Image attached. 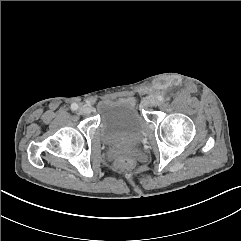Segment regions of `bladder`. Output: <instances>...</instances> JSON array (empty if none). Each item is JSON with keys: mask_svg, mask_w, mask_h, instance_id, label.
Segmentation results:
<instances>
[{"mask_svg": "<svg viewBox=\"0 0 241 241\" xmlns=\"http://www.w3.org/2000/svg\"><path fill=\"white\" fill-rule=\"evenodd\" d=\"M98 132L109 146L134 149L145 137L146 123L130 102L108 100L99 106Z\"/></svg>", "mask_w": 241, "mask_h": 241, "instance_id": "obj_1", "label": "bladder"}]
</instances>
